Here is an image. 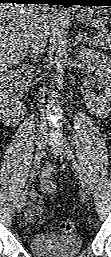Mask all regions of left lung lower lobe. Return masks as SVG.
<instances>
[{
  "instance_id": "0a47b994",
  "label": "left lung lower lobe",
  "mask_w": 111,
  "mask_h": 257,
  "mask_svg": "<svg viewBox=\"0 0 111 257\" xmlns=\"http://www.w3.org/2000/svg\"><path fill=\"white\" fill-rule=\"evenodd\" d=\"M81 6H111V0H66L65 7Z\"/></svg>"
}]
</instances>
